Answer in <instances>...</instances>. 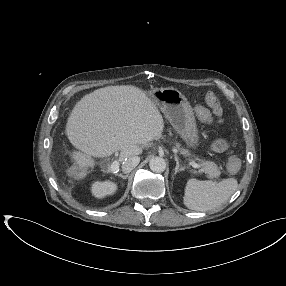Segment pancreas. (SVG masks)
<instances>
[{
	"mask_svg": "<svg viewBox=\"0 0 286 286\" xmlns=\"http://www.w3.org/2000/svg\"><path fill=\"white\" fill-rule=\"evenodd\" d=\"M176 146L182 155L190 156V153L188 150L180 148L179 144H177ZM200 165H201V172H204L205 174H207L208 178H216L220 175V169L217 166V164H215L214 162L205 161V162H202Z\"/></svg>",
	"mask_w": 286,
	"mask_h": 286,
	"instance_id": "cf45deb5",
	"label": "pancreas"
}]
</instances>
